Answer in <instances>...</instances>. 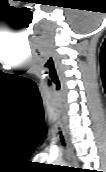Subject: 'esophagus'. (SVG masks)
<instances>
[{
	"label": "esophagus",
	"mask_w": 106,
	"mask_h": 172,
	"mask_svg": "<svg viewBox=\"0 0 106 172\" xmlns=\"http://www.w3.org/2000/svg\"><path fill=\"white\" fill-rule=\"evenodd\" d=\"M62 129H63V134H64V137L66 140V150H65L66 157L69 161V164L72 167H76L78 165V163H77V160H76L74 153H73V149H72V146L70 143L69 130H68L67 122H66L64 117L62 118Z\"/></svg>",
	"instance_id": "esophagus-1"
}]
</instances>
